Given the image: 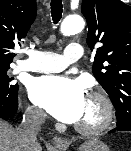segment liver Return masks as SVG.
Segmentation results:
<instances>
[{
	"mask_svg": "<svg viewBox=\"0 0 131 151\" xmlns=\"http://www.w3.org/2000/svg\"><path fill=\"white\" fill-rule=\"evenodd\" d=\"M24 146L17 131L7 122L0 120V151H28ZM34 151H42L39 143L34 146Z\"/></svg>",
	"mask_w": 131,
	"mask_h": 151,
	"instance_id": "1",
	"label": "liver"
}]
</instances>
